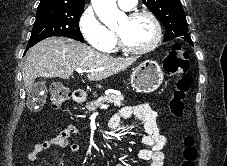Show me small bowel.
Here are the masks:
<instances>
[{"mask_svg":"<svg viewBox=\"0 0 227 166\" xmlns=\"http://www.w3.org/2000/svg\"><path fill=\"white\" fill-rule=\"evenodd\" d=\"M132 118L138 119L143 123L145 134L142 137V143L147 146L141 149L138 157L141 160L150 161V166H163L164 154L162 152L166 139L159 133L157 126L158 113L149 104H138L123 107L110 119L111 127L119 126L121 120H129ZM77 129L73 125H69L61 130L56 136L51 139L38 143L29 153L28 158L35 161L38 155L53 146L60 149H70L77 155L80 153L78 144H70V139L75 136Z\"/></svg>","mask_w":227,"mask_h":166,"instance_id":"small-bowel-1","label":"small bowel"}]
</instances>
